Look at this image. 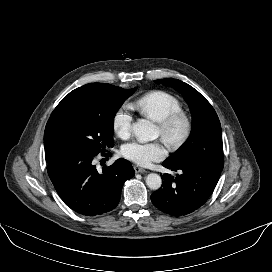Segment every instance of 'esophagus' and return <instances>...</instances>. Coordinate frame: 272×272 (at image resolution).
Segmentation results:
<instances>
[{
	"mask_svg": "<svg viewBox=\"0 0 272 272\" xmlns=\"http://www.w3.org/2000/svg\"><path fill=\"white\" fill-rule=\"evenodd\" d=\"M134 171L136 173H144V172H146V170L144 168L139 167V166H134Z\"/></svg>",
	"mask_w": 272,
	"mask_h": 272,
	"instance_id": "esophagus-1",
	"label": "esophagus"
}]
</instances>
